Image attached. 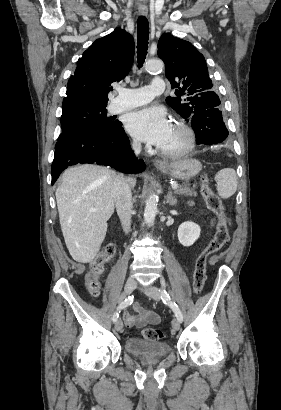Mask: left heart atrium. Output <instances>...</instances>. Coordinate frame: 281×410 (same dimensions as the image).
Here are the masks:
<instances>
[{"mask_svg": "<svg viewBox=\"0 0 281 410\" xmlns=\"http://www.w3.org/2000/svg\"><path fill=\"white\" fill-rule=\"evenodd\" d=\"M171 122L162 107H146L130 113L126 128L134 137L160 146L171 130Z\"/></svg>", "mask_w": 281, "mask_h": 410, "instance_id": "1", "label": "left heart atrium"}]
</instances>
